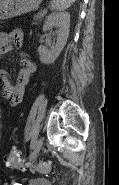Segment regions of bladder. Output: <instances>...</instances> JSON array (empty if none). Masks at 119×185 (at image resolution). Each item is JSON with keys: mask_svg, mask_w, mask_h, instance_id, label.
Segmentation results:
<instances>
[{"mask_svg": "<svg viewBox=\"0 0 119 185\" xmlns=\"http://www.w3.org/2000/svg\"><path fill=\"white\" fill-rule=\"evenodd\" d=\"M29 185H52L51 181L43 178H37L30 181Z\"/></svg>", "mask_w": 119, "mask_h": 185, "instance_id": "bladder-1", "label": "bladder"}]
</instances>
